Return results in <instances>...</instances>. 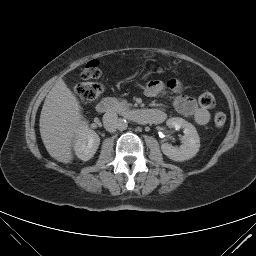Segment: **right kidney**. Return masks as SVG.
<instances>
[{
    "label": "right kidney",
    "instance_id": "obj_1",
    "mask_svg": "<svg viewBox=\"0 0 256 256\" xmlns=\"http://www.w3.org/2000/svg\"><path fill=\"white\" fill-rule=\"evenodd\" d=\"M99 144L100 138L98 134L89 129L84 122L74 141V151L77 157L83 161H88L96 153Z\"/></svg>",
    "mask_w": 256,
    "mask_h": 256
}]
</instances>
